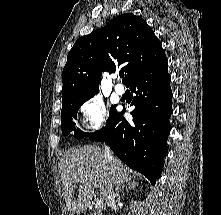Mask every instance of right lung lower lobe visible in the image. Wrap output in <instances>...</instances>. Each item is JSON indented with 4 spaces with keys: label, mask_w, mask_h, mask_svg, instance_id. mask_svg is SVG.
I'll use <instances>...</instances> for the list:
<instances>
[{
    "label": "right lung lower lobe",
    "mask_w": 221,
    "mask_h": 215,
    "mask_svg": "<svg viewBox=\"0 0 221 215\" xmlns=\"http://www.w3.org/2000/svg\"><path fill=\"white\" fill-rule=\"evenodd\" d=\"M171 77L164 57L128 85L136 94L132 121L117 114L112 124L90 140L106 142L127 166L143 174L154 185L160 177L172 113ZM125 108L123 109V111Z\"/></svg>",
    "instance_id": "98d812e1"
}]
</instances>
